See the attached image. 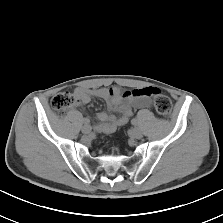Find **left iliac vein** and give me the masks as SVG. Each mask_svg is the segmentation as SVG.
I'll use <instances>...</instances> for the list:
<instances>
[{
	"mask_svg": "<svg viewBox=\"0 0 223 223\" xmlns=\"http://www.w3.org/2000/svg\"><path fill=\"white\" fill-rule=\"evenodd\" d=\"M130 135L134 139H140L142 137V131L139 128H134L130 131Z\"/></svg>",
	"mask_w": 223,
	"mask_h": 223,
	"instance_id": "4c4485c4",
	"label": "left iliac vein"
}]
</instances>
